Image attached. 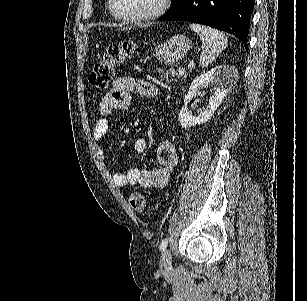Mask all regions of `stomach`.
<instances>
[{"label": "stomach", "mask_w": 307, "mask_h": 301, "mask_svg": "<svg viewBox=\"0 0 307 301\" xmlns=\"http://www.w3.org/2000/svg\"><path fill=\"white\" fill-rule=\"evenodd\" d=\"M191 46V38H188L185 34H175V36L167 38L162 44H157L153 50V56L164 64H174L187 54Z\"/></svg>", "instance_id": "stomach-1"}]
</instances>
